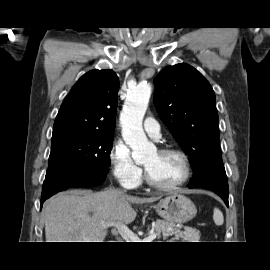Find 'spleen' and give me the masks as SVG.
Wrapping results in <instances>:
<instances>
[{
	"instance_id": "1",
	"label": "spleen",
	"mask_w": 270,
	"mask_h": 270,
	"mask_svg": "<svg viewBox=\"0 0 270 270\" xmlns=\"http://www.w3.org/2000/svg\"><path fill=\"white\" fill-rule=\"evenodd\" d=\"M213 220H214L215 224L218 226H220L224 223L223 214L218 208L214 209Z\"/></svg>"
}]
</instances>
